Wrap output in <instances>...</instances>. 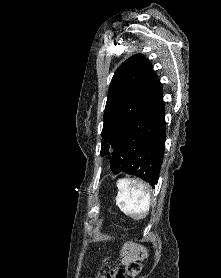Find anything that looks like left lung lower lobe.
Masks as SVG:
<instances>
[{
  "label": "left lung lower lobe",
  "mask_w": 221,
  "mask_h": 278,
  "mask_svg": "<svg viewBox=\"0 0 221 278\" xmlns=\"http://www.w3.org/2000/svg\"><path fill=\"white\" fill-rule=\"evenodd\" d=\"M165 109L160 84L154 97L112 151L111 170L136 175L152 187L158 182L166 140Z\"/></svg>",
  "instance_id": "1"
}]
</instances>
